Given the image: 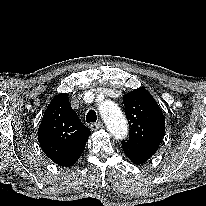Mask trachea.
<instances>
[{
    "instance_id": "trachea-1",
    "label": "trachea",
    "mask_w": 206,
    "mask_h": 206,
    "mask_svg": "<svg viewBox=\"0 0 206 206\" xmlns=\"http://www.w3.org/2000/svg\"><path fill=\"white\" fill-rule=\"evenodd\" d=\"M96 120H97L96 112L94 110H89L87 115H86L87 123L96 122Z\"/></svg>"
}]
</instances>
